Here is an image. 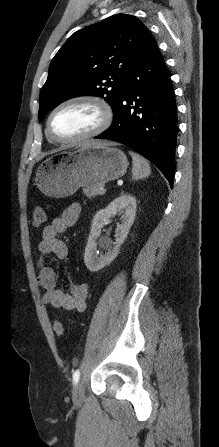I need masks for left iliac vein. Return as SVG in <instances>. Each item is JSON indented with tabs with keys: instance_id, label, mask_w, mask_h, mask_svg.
Listing matches in <instances>:
<instances>
[{
	"instance_id": "left-iliac-vein-1",
	"label": "left iliac vein",
	"mask_w": 219,
	"mask_h": 447,
	"mask_svg": "<svg viewBox=\"0 0 219 447\" xmlns=\"http://www.w3.org/2000/svg\"><path fill=\"white\" fill-rule=\"evenodd\" d=\"M84 397V382L80 380L73 391V399L74 401H81Z\"/></svg>"
}]
</instances>
